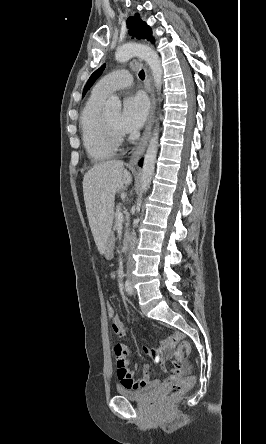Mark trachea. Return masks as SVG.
<instances>
[{
	"label": "trachea",
	"mask_w": 266,
	"mask_h": 444,
	"mask_svg": "<svg viewBox=\"0 0 266 444\" xmlns=\"http://www.w3.org/2000/svg\"><path fill=\"white\" fill-rule=\"evenodd\" d=\"M139 78H140L141 80H144V79H145V73H144L143 70H140V72H139Z\"/></svg>",
	"instance_id": "trachea-1"
}]
</instances>
